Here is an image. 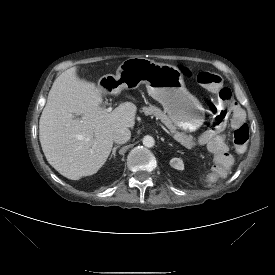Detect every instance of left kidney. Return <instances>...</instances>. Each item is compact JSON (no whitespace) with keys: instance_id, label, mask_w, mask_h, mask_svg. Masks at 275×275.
<instances>
[{"instance_id":"1","label":"left kidney","mask_w":275,"mask_h":275,"mask_svg":"<svg viewBox=\"0 0 275 275\" xmlns=\"http://www.w3.org/2000/svg\"><path fill=\"white\" fill-rule=\"evenodd\" d=\"M170 165L177 169V170H183L184 169V164L183 161L180 158H173L170 161Z\"/></svg>"}]
</instances>
